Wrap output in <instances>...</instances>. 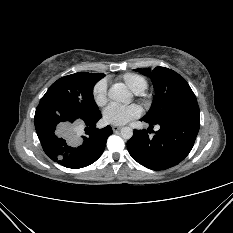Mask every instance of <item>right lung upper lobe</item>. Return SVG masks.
I'll return each mask as SVG.
<instances>
[{
    "instance_id": "cb5924a9",
    "label": "right lung upper lobe",
    "mask_w": 233,
    "mask_h": 233,
    "mask_svg": "<svg viewBox=\"0 0 233 233\" xmlns=\"http://www.w3.org/2000/svg\"><path fill=\"white\" fill-rule=\"evenodd\" d=\"M96 74H98V76H100V77H104V74H102V73H96Z\"/></svg>"
}]
</instances>
